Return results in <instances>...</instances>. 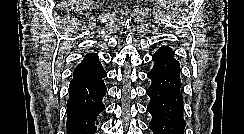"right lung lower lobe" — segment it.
<instances>
[{
  "mask_svg": "<svg viewBox=\"0 0 244 134\" xmlns=\"http://www.w3.org/2000/svg\"><path fill=\"white\" fill-rule=\"evenodd\" d=\"M106 74L86 80L70 82L67 102V134H95L97 116L104 110L106 94L103 78Z\"/></svg>",
  "mask_w": 244,
  "mask_h": 134,
  "instance_id": "98d812e1",
  "label": "right lung lower lobe"
}]
</instances>
